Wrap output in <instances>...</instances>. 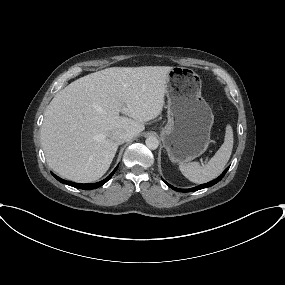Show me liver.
<instances>
[{"label":"liver","instance_id":"6515ba94","mask_svg":"<svg viewBox=\"0 0 285 285\" xmlns=\"http://www.w3.org/2000/svg\"><path fill=\"white\" fill-rule=\"evenodd\" d=\"M171 70L168 66L111 67L59 91L41 127L48 165L75 182L101 178L118 149L112 133L123 130L131 139L145 129L144 122L160 115Z\"/></svg>","mask_w":285,"mask_h":285}]
</instances>
